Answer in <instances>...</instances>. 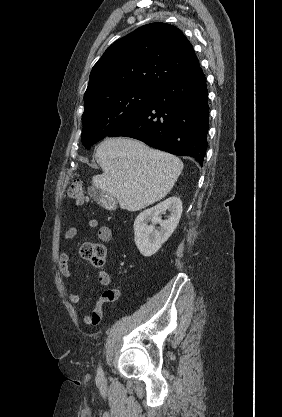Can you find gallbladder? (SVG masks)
<instances>
[{
	"label": "gallbladder",
	"instance_id": "obj_1",
	"mask_svg": "<svg viewBox=\"0 0 282 417\" xmlns=\"http://www.w3.org/2000/svg\"><path fill=\"white\" fill-rule=\"evenodd\" d=\"M88 194H90L98 204H101V206H105L107 200L110 198V196H107L105 190L97 188V186H89Z\"/></svg>",
	"mask_w": 282,
	"mask_h": 417
}]
</instances>
